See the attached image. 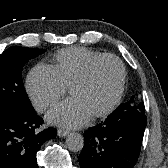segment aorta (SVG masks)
<instances>
[{"label":"aorta","mask_w":168,"mask_h":168,"mask_svg":"<svg viewBox=\"0 0 168 168\" xmlns=\"http://www.w3.org/2000/svg\"><path fill=\"white\" fill-rule=\"evenodd\" d=\"M66 146L70 151L78 152L84 146V138L81 134L73 132L66 138Z\"/></svg>","instance_id":"obj_1"}]
</instances>
